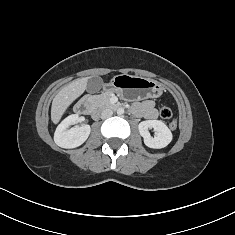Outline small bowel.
Here are the masks:
<instances>
[{
  "mask_svg": "<svg viewBox=\"0 0 235 235\" xmlns=\"http://www.w3.org/2000/svg\"><path fill=\"white\" fill-rule=\"evenodd\" d=\"M133 112L135 115L144 117L148 120H152L157 117V111L154 107V102L151 100L135 103L133 105Z\"/></svg>",
  "mask_w": 235,
  "mask_h": 235,
  "instance_id": "obj_1",
  "label": "small bowel"
}]
</instances>
